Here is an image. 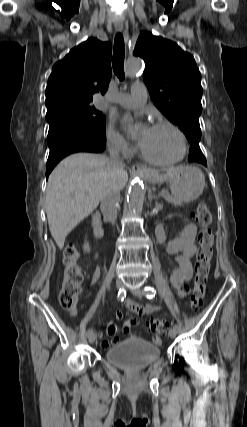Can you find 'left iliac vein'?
I'll list each match as a JSON object with an SVG mask.
<instances>
[{"label":"left iliac vein","mask_w":247,"mask_h":427,"mask_svg":"<svg viewBox=\"0 0 247 427\" xmlns=\"http://www.w3.org/2000/svg\"><path fill=\"white\" fill-rule=\"evenodd\" d=\"M131 291H132V293H133L136 297H139V298H142V297H143V295H144V292H143L142 290H140V289H137V288H132V289H131ZM177 333H178V329H176L175 327H173V328L169 331V336H170L171 338H175V337H176V335H177Z\"/></svg>","instance_id":"left-iliac-vein-1"}]
</instances>
